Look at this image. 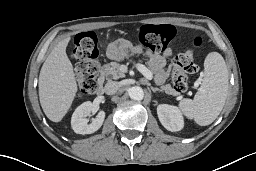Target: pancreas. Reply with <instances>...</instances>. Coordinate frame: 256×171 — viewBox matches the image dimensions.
I'll use <instances>...</instances> for the list:
<instances>
[{
  "instance_id": "1",
  "label": "pancreas",
  "mask_w": 256,
  "mask_h": 171,
  "mask_svg": "<svg viewBox=\"0 0 256 171\" xmlns=\"http://www.w3.org/2000/svg\"><path fill=\"white\" fill-rule=\"evenodd\" d=\"M153 73L156 78L162 79V82L165 81L166 73L163 69H157L153 71ZM102 75L105 76L106 79H119L125 77V74L120 71V64L117 62H111L103 71ZM161 89L168 95H177L176 90L170 84L161 86Z\"/></svg>"
}]
</instances>
